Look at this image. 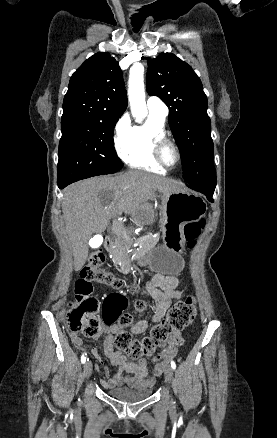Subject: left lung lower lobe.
I'll return each mask as SVG.
<instances>
[{
	"label": "left lung lower lobe",
	"mask_w": 277,
	"mask_h": 438,
	"mask_svg": "<svg viewBox=\"0 0 277 438\" xmlns=\"http://www.w3.org/2000/svg\"><path fill=\"white\" fill-rule=\"evenodd\" d=\"M188 187L195 190V191H198V192L205 194L207 199L209 201L213 202L212 195H213L215 189L208 188V187L189 186V185H188Z\"/></svg>",
	"instance_id": "obj_1"
}]
</instances>
